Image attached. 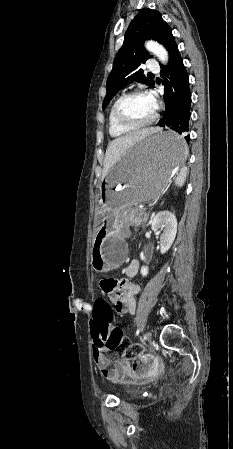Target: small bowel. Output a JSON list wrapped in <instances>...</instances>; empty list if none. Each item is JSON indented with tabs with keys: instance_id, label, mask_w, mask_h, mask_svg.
I'll return each mask as SVG.
<instances>
[{
	"instance_id": "c3829d8e",
	"label": "small bowel",
	"mask_w": 233,
	"mask_h": 449,
	"mask_svg": "<svg viewBox=\"0 0 233 449\" xmlns=\"http://www.w3.org/2000/svg\"><path fill=\"white\" fill-rule=\"evenodd\" d=\"M139 263L132 260L125 268V277L118 280L113 274H105L100 280L104 296L116 305L118 312L133 315L136 312V296L140 292L138 285L130 279L138 273ZM96 310V309H93ZM93 338V334H92ZM107 349H93L94 364L102 373L103 377L110 382H117L130 376L128 371V360L121 356L116 359L113 367H109L110 360L106 356ZM161 361L160 354H147L144 361L145 368H138V377H154Z\"/></svg>"
}]
</instances>
